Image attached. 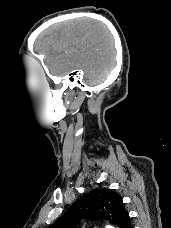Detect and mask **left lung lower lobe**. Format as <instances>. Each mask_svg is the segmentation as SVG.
<instances>
[{
    "label": "left lung lower lobe",
    "mask_w": 171,
    "mask_h": 228,
    "mask_svg": "<svg viewBox=\"0 0 171 228\" xmlns=\"http://www.w3.org/2000/svg\"><path fill=\"white\" fill-rule=\"evenodd\" d=\"M125 228H133L132 225H131V223H130V220H129V222L127 223V225L125 226Z\"/></svg>",
    "instance_id": "0a47b994"
}]
</instances>
